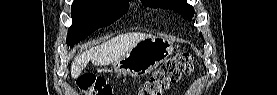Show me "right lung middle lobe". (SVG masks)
<instances>
[{"mask_svg": "<svg viewBox=\"0 0 277 95\" xmlns=\"http://www.w3.org/2000/svg\"><path fill=\"white\" fill-rule=\"evenodd\" d=\"M128 3L125 0H74L72 26L66 39L68 47L121 18L127 12Z\"/></svg>", "mask_w": 277, "mask_h": 95, "instance_id": "right-lung-middle-lobe-1", "label": "right lung middle lobe"}]
</instances>
